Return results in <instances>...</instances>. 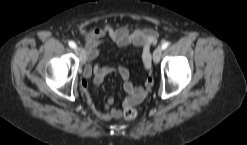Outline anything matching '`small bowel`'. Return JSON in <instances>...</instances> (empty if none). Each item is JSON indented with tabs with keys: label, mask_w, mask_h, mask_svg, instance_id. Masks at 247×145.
Listing matches in <instances>:
<instances>
[{
	"label": "small bowel",
	"mask_w": 247,
	"mask_h": 145,
	"mask_svg": "<svg viewBox=\"0 0 247 145\" xmlns=\"http://www.w3.org/2000/svg\"><path fill=\"white\" fill-rule=\"evenodd\" d=\"M157 36V33L152 29L137 28L130 31L127 26L114 29L109 25L95 28L87 34L86 52H84L85 59L88 63L84 69L81 90L86 98L87 104L97 117L106 121L119 119L122 116V110L112 108L114 103L113 96L108 98L104 106V111L98 110L92 101L88 86L89 81L93 80L95 84H100L106 76L118 74L124 81L123 87L128 94L123 103V108L139 104L153 86V79L151 77L152 63L149 48L156 44ZM108 37L119 47L134 46L139 49V57L146 74L143 85L135 86L130 78L129 70L123 66L93 64L99 56L101 45Z\"/></svg>",
	"instance_id": "small-bowel-1"
}]
</instances>
